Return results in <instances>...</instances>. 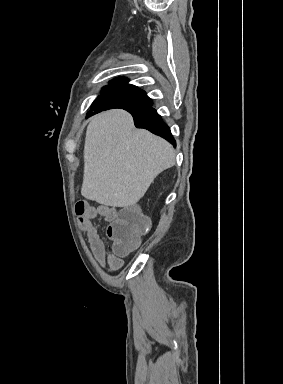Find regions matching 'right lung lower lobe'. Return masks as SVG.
<instances>
[{"label": "right lung lower lobe", "instance_id": "98d812e1", "mask_svg": "<svg viewBox=\"0 0 283 384\" xmlns=\"http://www.w3.org/2000/svg\"><path fill=\"white\" fill-rule=\"evenodd\" d=\"M122 109H125L132 114L134 118L135 126L137 128L147 129L153 134L161 136L162 138L166 139L167 141L172 143L174 146H176V142L170 132L168 125L165 122H163L161 116L156 112L154 108L149 107L143 110H139V109L123 107ZM92 111L100 112L102 110L92 109ZM94 114L95 113L93 112H88L87 117L92 116Z\"/></svg>", "mask_w": 283, "mask_h": 384}]
</instances>
